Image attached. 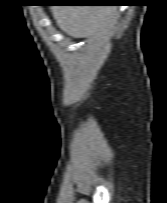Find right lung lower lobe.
Returning a JSON list of instances; mask_svg holds the SVG:
<instances>
[{"mask_svg": "<svg viewBox=\"0 0 167 203\" xmlns=\"http://www.w3.org/2000/svg\"><path fill=\"white\" fill-rule=\"evenodd\" d=\"M101 5H120V4H101Z\"/></svg>", "mask_w": 167, "mask_h": 203, "instance_id": "1", "label": "right lung lower lobe"}]
</instances>
